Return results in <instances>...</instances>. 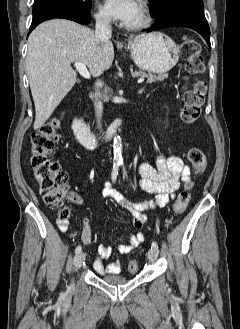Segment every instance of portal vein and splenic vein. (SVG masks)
I'll return each instance as SVG.
<instances>
[{"label":"portal vein and splenic vein","mask_w":240,"mask_h":329,"mask_svg":"<svg viewBox=\"0 0 240 329\" xmlns=\"http://www.w3.org/2000/svg\"><path fill=\"white\" fill-rule=\"evenodd\" d=\"M75 67L77 69V71L80 73V75L86 79L90 78V73L86 68V65L83 63H79V62H75ZM144 81V78H140L138 79V83H142Z\"/></svg>","instance_id":"18ae733b"}]
</instances>
